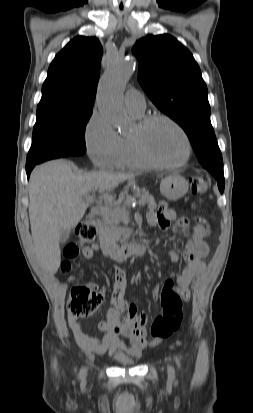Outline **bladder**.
<instances>
[{"label":"bladder","mask_w":253,"mask_h":413,"mask_svg":"<svg viewBox=\"0 0 253 413\" xmlns=\"http://www.w3.org/2000/svg\"><path fill=\"white\" fill-rule=\"evenodd\" d=\"M114 359L117 363H119L120 365H123V366H130V365H133L135 363L134 359H132L130 357H127L125 355H118Z\"/></svg>","instance_id":"obj_1"}]
</instances>
